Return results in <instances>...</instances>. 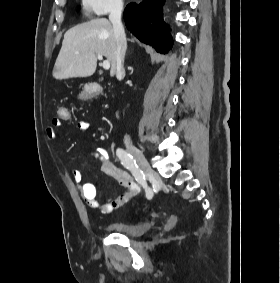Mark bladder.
I'll return each mask as SVG.
<instances>
[{"mask_svg": "<svg viewBox=\"0 0 280 283\" xmlns=\"http://www.w3.org/2000/svg\"><path fill=\"white\" fill-rule=\"evenodd\" d=\"M153 226L154 223L150 221L140 223L112 222L107 226V229L116 234L136 237L147 233Z\"/></svg>", "mask_w": 280, "mask_h": 283, "instance_id": "bladder-1", "label": "bladder"}]
</instances>
